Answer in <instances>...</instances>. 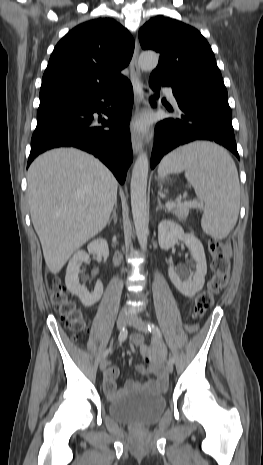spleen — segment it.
Wrapping results in <instances>:
<instances>
[{"instance_id": "spleen-1", "label": "spleen", "mask_w": 263, "mask_h": 465, "mask_svg": "<svg viewBox=\"0 0 263 465\" xmlns=\"http://www.w3.org/2000/svg\"><path fill=\"white\" fill-rule=\"evenodd\" d=\"M181 171L205 202L203 231L216 239L225 238L234 228L240 208V185L233 159L214 143L195 142L167 155L158 167L160 177Z\"/></svg>"}]
</instances>
